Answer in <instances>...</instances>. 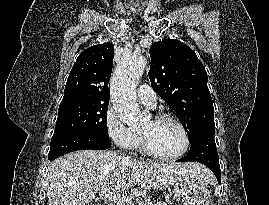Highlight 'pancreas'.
I'll list each match as a JSON object with an SVG mask.
<instances>
[{
	"mask_svg": "<svg viewBox=\"0 0 269 205\" xmlns=\"http://www.w3.org/2000/svg\"><path fill=\"white\" fill-rule=\"evenodd\" d=\"M137 202H139V205H167V203L165 202H157V203H151L148 202V200L146 198H137Z\"/></svg>",
	"mask_w": 269,
	"mask_h": 205,
	"instance_id": "1",
	"label": "pancreas"
}]
</instances>
